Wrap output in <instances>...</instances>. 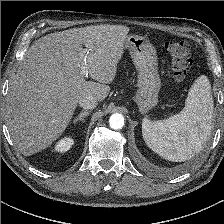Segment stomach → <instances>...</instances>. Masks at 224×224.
<instances>
[{
  "instance_id": "stomach-1",
  "label": "stomach",
  "mask_w": 224,
  "mask_h": 224,
  "mask_svg": "<svg viewBox=\"0 0 224 224\" xmlns=\"http://www.w3.org/2000/svg\"><path fill=\"white\" fill-rule=\"evenodd\" d=\"M124 47L129 51L138 71V89L134 101L144 114L157 105L161 88L156 49L148 39L139 35H128Z\"/></svg>"
}]
</instances>
